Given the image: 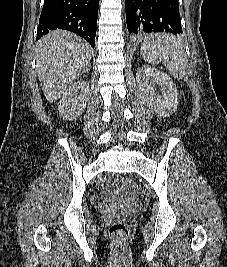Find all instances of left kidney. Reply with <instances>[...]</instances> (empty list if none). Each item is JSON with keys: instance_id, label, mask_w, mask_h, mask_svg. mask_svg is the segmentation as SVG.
<instances>
[{"instance_id": "left-kidney-1", "label": "left kidney", "mask_w": 227, "mask_h": 267, "mask_svg": "<svg viewBox=\"0 0 227 267\" xmlns=\"http://www.w3.org/2000/svg\"><path fill=\"white\" fill-rule=\"evenodd\" d=\"M136 80L143 98L154 114L167 117L176 111L177 88L166 73L151 67H144L137 71Z\"/></svg>"}]
</instances>
